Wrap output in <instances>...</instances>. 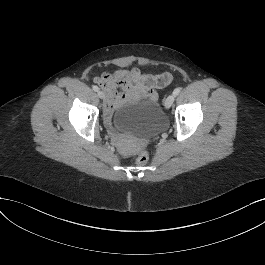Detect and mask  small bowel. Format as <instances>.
Returning <instances> with one entry per match:
<instances>
[{
  "instance_id": "1",
  "label": "small bowel",
  "mask_w": 265,
  "mask_h": 265,
  "mask_svg": "<svg viewBox=\"0 0 265 265\" xmlns=\"http://www.w3.org/2000/svg\"><path fill=\"white\" fill-rule=\"evenodd\" d=\"M115 64L120 67L118 70L95 78L105 93L104 115L107 120L117 107L128 101L156 100L157 90L172 81L170 73L151 75L135 67L128 68L129 63L125 59H117Z\"/></svg>"
}]
</instances>
